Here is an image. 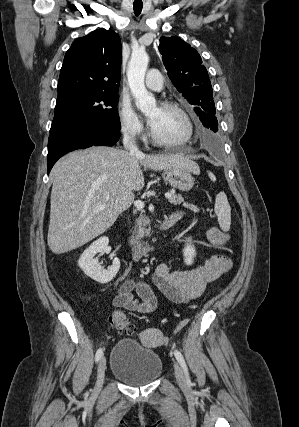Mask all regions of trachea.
I'll list each match as a JSON object with an SVG mask.
<instances>
[{"label": "trachea", "instance_id": "1", "mask_svg": "<svg viewBox=\"0 0 299 427\" xmlns=\"http://www.w3.org/2000/svg\"><path fill=\"white\" fill-rule=\"evenodd\" d=\"M143 4H133L134 14L139 16L141 14Z\"/></svg>", "mask_w": 299, "mask_h": 427}]
</instances>
